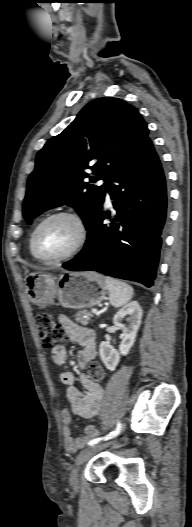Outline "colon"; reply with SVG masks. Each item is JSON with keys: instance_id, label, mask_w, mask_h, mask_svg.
<instances>
[{"instance_id": "colon-1", "label": "colon", "mask_w": 192, "mask_h": 527, "mask_svg": "<svg viewBox=\"0 0 192 527\" xmlns=\"http://www.w3.org/2000/svg\"><path fill=\"white\" fill-rule=\"evenodd\" d=\"M38 335L44 347L51 348L65 341L66 334L63 326L57 320L46 313H40L35 317ZM89 379L101 384L105 379V372L98 363H92L88 369Z\"/></svg>"}]
</instances>
